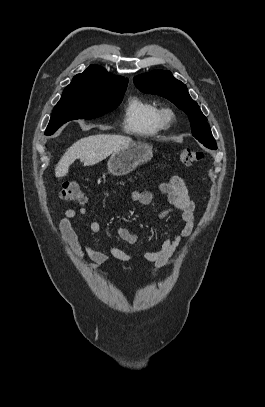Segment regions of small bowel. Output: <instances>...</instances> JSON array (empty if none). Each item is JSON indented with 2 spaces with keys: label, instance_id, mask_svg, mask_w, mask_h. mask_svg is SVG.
<instances>
[{
  "label": "small bowel",
  "instance_id": "c3829d8e",
  "mask_svg": "<svg viewBox=\"0 0 265 407\" xmlns=\"http://www.w3.org/2000/svg\"><path fill=\"white\" fill-rule=\"evenodd\" d=\"M161 193L166 196L169 207L161 214L166 217L173 211L181 213L182 228L173 236L166 238L160 249L156 251H147L140 254L141 258L146 262L153 264L155 268H161L169 261L174 254L179 242L182 238L192 234L194 229V209L195 204L190 199L187 186L182 178L178 176L172 177L169 181L162 182L158 186ZM132 199L144 207H147L153 199V194L147 188L134 190L131 194ZM79 213L86 216L88 211L85 208L79 209L77 212L74 209H67L63 218L60 221V233L64 242L71 248L76 259L86 264L91 270H98L103 264L108 263L111 259L120 261H129L132 255L118 248L110 247L106 252L98 251L91 247L86 241L81 240L74 227L73 219ZM92 233H99L101 225L98 221L93 220L89 224ZM117 234L124 242L134 245L138 242V236L132 233L126 227H119ZM88 257L89 261H85Z\"/></svg>",
  "mask_w": 265,
  "mask_h": 407
}]
</instances>
